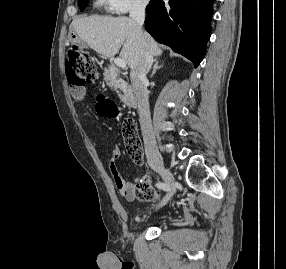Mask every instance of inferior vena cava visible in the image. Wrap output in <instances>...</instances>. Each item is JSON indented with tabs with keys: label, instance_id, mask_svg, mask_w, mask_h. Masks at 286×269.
<instances>
[{
	"label": "inferior vena cava",
	"instance_id": "602c4592",
	"mask_svg": "<svg viewBox=\"0 0 286 269\" xmlns=\"http://www.w3.org/2000/svg\"><path fill=\"white\" fill-rule=\"evenodd\" d=\"M145 4H136L130 10V18L137 24L138 30L142 32V25L145 20ZM153 56L147 51H143V58L136 69L130 73L132 87L136 96L140 127L143 135L145 153L148 161H156L160 155L156 145L155 136L151 125L149 108V93L147 90V73L151 68Z\"/></svg>",
	"mask_w": 286,
	"mask_h": 269
}]
</instances>
